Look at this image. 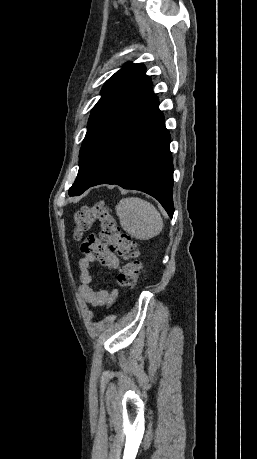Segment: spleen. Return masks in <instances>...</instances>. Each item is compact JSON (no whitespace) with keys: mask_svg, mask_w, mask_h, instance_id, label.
<instances>
[{"mask_svg":"<svg viewBox=\"0 0 257 459\" xmlns=\"http://www.w3.org/2000/svg\"><path fill=\"white\" fill-rule=\"evenodd\" d=\"M116 214L123 230L136 239L149 240L162 231L163 220L159 211L144 199H121L116 205Z\"/></svg>","mask_w":257,"mask_h":459,"instance_id":"3e777b00","label":"spleen"}]
</instances>
